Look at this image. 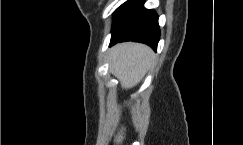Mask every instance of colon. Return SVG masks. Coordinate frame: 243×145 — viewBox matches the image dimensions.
Segmentation results:
<instances>
[{"label": "colon", "instance_id": "obj_1", "mask_svg": "<svg viewBox=\"0 0 243 145\" xmlns=\"http://www.w3.org/2000/svg\"><path fill=\"white\" fill-rule=\"evenodd\" d=\"M121 139H122V135L120 134V135L117 137V141L119 142V141H121Z\"/></svg>", "mask_w": 243, "mask_h": 145}]
</instances>
